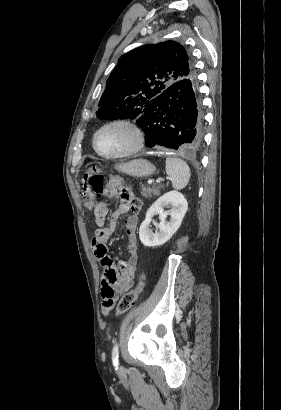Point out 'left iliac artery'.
I'll return each mask as SVG.
<instances>
[{
	"label": "left iliac artery",
	"mask_w": 281,
	"mask_h": 410,
	"mask_svg": "<svg viewBox=\"0 0 281 410\" xmlns=\"http://www.w3.org/2000/svg\"><path fill=\"white\" fill-rule=\"evenodd\" d=\"M118 357H119V349H118V344L115 343L113 350H112V361L114 366L117 368L118 366Z\"/></svg>",
	"instance_id": "left-iliac-artery-1"
}]
</instances>
